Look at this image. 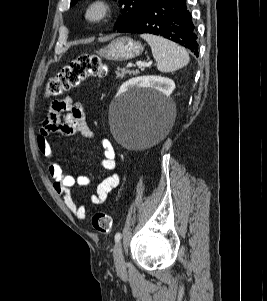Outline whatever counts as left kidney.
Instances as JSON below:
<instances>
[{"mask_svg": "<svg viewBox=\"0 0 267 301\" xmlns=\"http://www.w3.org/2000/svg\"><path fill=\"white\" fill-rule=\"evenodd\" d=\"M139 87V88H146V89H152L154 91H158L167 97L170 96V94L175 89V83L173 80L165 77L160 76H143V77H137L133 78L124 84L121 85L118 95L125 93L128 91L131 87Z\"/></svg>", "mask_w": 267, "mask_h": 301, "instance_id": "left-kidney-1", "label": "left kidney"}]
</instances>
